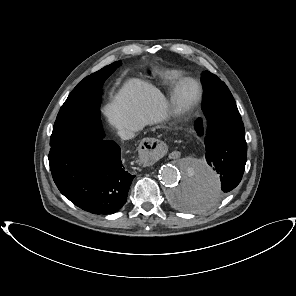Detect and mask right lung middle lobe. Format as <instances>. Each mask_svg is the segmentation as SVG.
Listing matches in <instances>:
<instances>
[{
  "instance_id": "obj_1",
  "label": "right lung middle lobe",
  "mask_w": 296,
  "mask_h": 296,
  "mask_svg": "<svg viewBox=\"0 0 296 296\" xmlns=\"http://www.w3.org/2000/svg\"><path fill=\"white\" fill-rule=\"evenodd\" d=\"M121 65L116 61L84 78L62 105L50 146H69L88 137L103 135L100 121V92L104 82Z\"/></svg>"
}]
</instances>
